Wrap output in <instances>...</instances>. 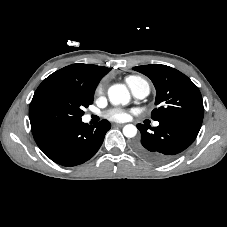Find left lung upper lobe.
I'll return each instance as SVG.
<instances>
[{
    "label": "left lung upper lobe",
    "instance_id": "5c2ea615",
    "mask_svg": "<svg viewBox=\"0 0 227 227\" xmlns=\"http://www.w3.org/2000/svg\"><path fill=\"white\" fill-rule=\"evenodd\" d=\"M149 77L156 88L155 105L151 113L157 121L181 119L202 124L204 108L198 87L180 71L161 64L133 67Z\"/></svg>",
    "mask_w": 227,
    "mask_h": 227
}]
</instances>
